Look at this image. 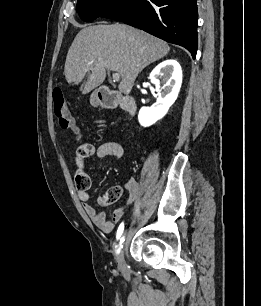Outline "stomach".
Instances as JSON below:
<instances>
[{"label":"stomach","instance_id":"1","mask_svg":"<svg viewBox=\"0 0 261 306\" xmlns=\"http://www.w3.org/2000/svg\"><path fill=\"white\" fill-rule=\"evenodd\" d=\"M90 102L93 106H98L100 104V100L96 92L91 95Z\"/></svg>","mask_w":261,"mask_h":306}]
</instances>
